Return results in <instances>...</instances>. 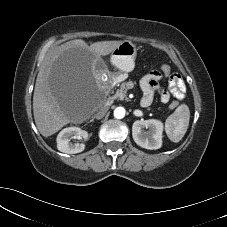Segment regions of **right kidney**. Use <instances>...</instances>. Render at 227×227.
<instances>
[{"label":"right kidney","mask_w":227,"mask_h":227,"mask_svg":"<svg viewBox=\"0 0 227 227\" xmlns=\"http://www.w3.org/2000/svg\"><path fill=\"white\" fill-rule=\"evenodd\" d=\"M88 139V133L79 127L64 128L57 136V149L63 153L75 154L85 148L83 143H72L71 139Z\"/></svg>","instance_id":"ca27d5eb"}]
</instances>
